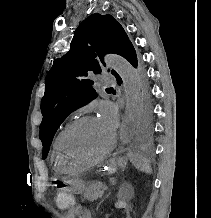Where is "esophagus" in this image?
<instances>
[{
  "mask_svg": "<svg viewBox=\"0 0 211 218\" xmlns=\"http://www.w3.org/2000/svg\"><path fill=\"white\" fill-rule=\"evenodd\" d=\"M110 167H111L110 163H104L102 167V172H109Z\"/></svg>",
  "mask_w": 211,
  "mask_h": 218,
  "instance_id": "esophagus-1",
  "label": "esophagus"
}]
</instances>
